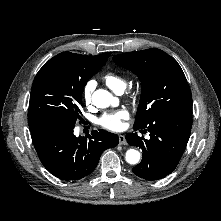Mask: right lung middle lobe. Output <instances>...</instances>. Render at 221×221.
I'll list each match as a JSON object with an SVG mask.
<instances>
[{"label":"right lung middle lobe","mask_w":221,"mask_h":221,"mask_svg":"<svg viewBox=\"0 0 221 221\" xmlns=\"http://www.w3.org/2000/svg\"><path fill=\"white\" fill-rule=\"evenodd\" d=\"M100 68L91 64L86 55L70 52L60 53L45 63L33 81L29 127L50 123L74 128L82 120L84 86Z\"/></svg>","instance_id":"right-lung-middle-lobe-1"}]
</instances>
